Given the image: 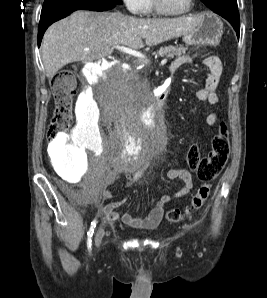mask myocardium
<instances>
[{
	"mask_svg": "<svg viewBox=\"0 0 267 298\" xmlns=\"http://www.w3.org/2000/svg\"><path fill=\"white\" fill-rule=\"evenodd\" d=\"M151 1H152L153 9L155 10L156 13L163 15V16L179 17V16L188 14L192 10L195 0H189V4H188L187 8L185 10H183L181 12H177V13L167 10L162 5L161 0H151Z\"/></svg>",
	"mask_w": 267,
	"mask_h": 298,
	"instance_id": "obj_1",
	"label": "myocardium"
}]
</instances>
